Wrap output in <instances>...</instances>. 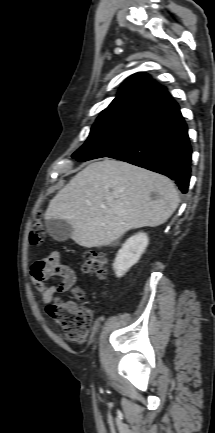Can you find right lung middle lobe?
Listing matches in <instances>:
<instances>
[{"label":"right lung middle lobe","instance_id":"dd1d6c3e","mask_svg":"<svg viewBox=\"0 0 215 433\" xmlns=\"http://www.w3.org/2000/svg\"><path fill=\"white\" fill-rule=\"evenodd\" d=\"M148 118L121 117L96 121L87 141L72 155L80 162L107 157L125 147Z\"/></svg>","mask_w":215,"mask_h":433}]
</instances>
